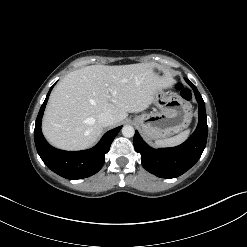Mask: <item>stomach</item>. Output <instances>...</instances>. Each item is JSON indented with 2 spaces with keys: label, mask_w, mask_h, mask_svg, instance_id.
Returning a JSON list of instances; mask_svg holds the SVG:
<instances>
[{
  "label": "stomach",
  "mask_w": 247,
  "mask_h": 247,
  "mask_svg": "<svg viewBox=\"0 0 247 247\" xmlns=\"http://www.w3.org/2000/svg\"><path fill=\"white\" fill-rule=\"evenodd\" d=\"M156 110L136 116L134 121L143 134L153 140L172 136L186 129L192 119V108L178 94L159 89L153 99Z\"/></svg>",
  "instance_id": "obj_1"
}]
</instances>
